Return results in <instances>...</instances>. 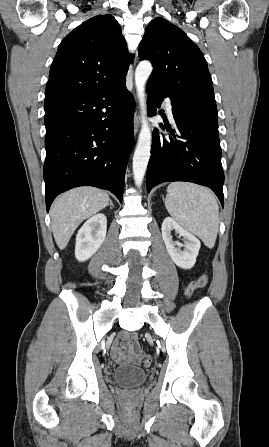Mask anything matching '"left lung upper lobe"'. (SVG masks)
<instances>
[{"instance_id":"5c2ea615","label":"left lung upper lobe","mask_w":269,"mask_h":447,"mask_svg":"<svg viewBox=\"0 0 269 447\" xmlns=\"http://www.w3.org/2000/svg\"><path fill=\"white\" fill-rule=\"evenodd\" d=\"M139 57L153 64L147 86L167 95L196 119L218 123L213 83L198 46L177 26L155 18L139 45Z\"/></svg>"}]
</instances>
